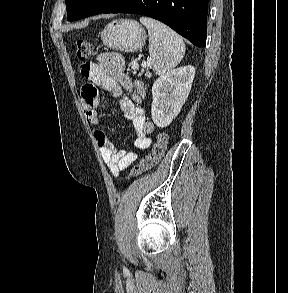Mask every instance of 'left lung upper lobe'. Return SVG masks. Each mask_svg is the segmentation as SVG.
I'll use <instances>...</instances> for the list:
<instances>
[{
	"label": "left lung upper lobe",
	"mask_w": 288,
	"mask_h": 293,
	"mask_svg": "<svg viewBox=\"0 0 288 293\" xmlns=\"http://www.w3.org/2000/svg\"><path fill=\"white\" fill-rule=\"evenodd\" d=\"M119 0H65L68 20L100 14Z\"/></svg>",
	"instance_id": "5c2ea615"
}]
</instances>
